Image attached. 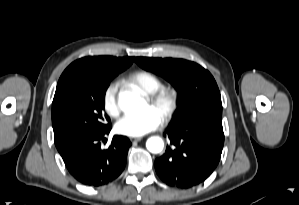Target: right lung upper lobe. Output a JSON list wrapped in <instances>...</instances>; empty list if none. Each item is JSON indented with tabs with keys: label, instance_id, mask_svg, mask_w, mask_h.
<instances>
[{
	"label": "right lung upper lobe",
	"instance_id": "cb5924a9",
	"mask_svg": "<svg viewBox=\"0 0 299 205\" xmlns=\"http://www.w3.org/2000/svg\"><path fill=\"white\" fill-rule=\"evenodd\" d=\"M133 60L134 57L117 58L113 56H89L78 59L70 64L61 75L57 84L54 99L59 94L63 81L69 75L104 76L118 74L128 68Z\"/></svg>",
	"mask_w": 299,
	"mask_h": 205
}]
</instances>
